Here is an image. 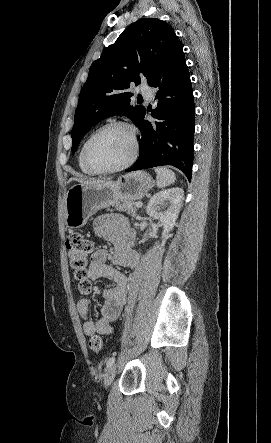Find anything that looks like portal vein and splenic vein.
I'll return each instance as SVG.
<instances>
[{
  "label": "portal vein and splenic vein",
  "instance_id": "1",
  "mask_svg": "<svg viewBox=\"0 0 271 443\" xmlns=\"http://www.w3.org/2000/svg\"><path fill=\"white\" fill-rule=\"evenodd\" d=\"M136 208H142V202H136Z\"/></svg>",
  "mask_w": 271,
  "mask_h": 443
}]
</instances>
